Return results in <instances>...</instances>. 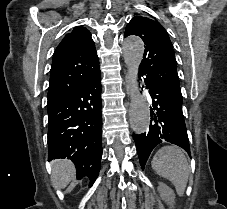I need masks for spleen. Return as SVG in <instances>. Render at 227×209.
<instances>
[{
  "label": "spleen",
  "mask_w": 227,
  "mask_h": 209,
  "mask_svg": "<svg viewBox=\"0 0 227 209\" xmlns=\"http://www.w3.org/2000/svg\"><path fill=\"white\" fill-rule=\"evenodd\" d=\"M152 169L173 183L177 195L183 197L188 183L189 165L179 147H162L152 159Z\"/></svg>",
  "instance_id": "1"
}]
</instances>
